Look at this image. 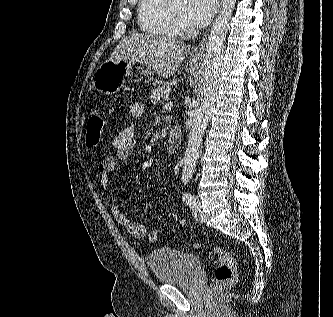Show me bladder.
Returning <instances> with one entry per match:
<instances>
[{"label":"bladder","instance_id":"bladder-1","mask_svg":"<svg viewBox=\"0 0 333 317\" xmlns=\"http://www.w3.org/2000/svg\"><path fill=\"white\" fill-rule=\"evenodd\" d=\"M146 262L155 280L167 285L190 284L202 268L198 256L169 247L151 251Z\"/></svg>","mask_w":333,"mask_h":317}]
</instances>
